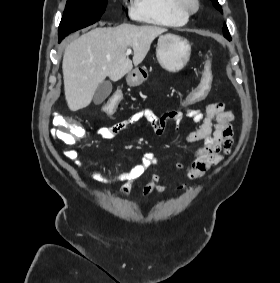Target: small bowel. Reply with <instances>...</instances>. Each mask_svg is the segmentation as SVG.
I'll list each match as a JSON object with an SVG mask.
<instances>
[{"instance_id":"c3829d8e","label":"small bowel","mask_w":280,"mask_h":283,"mask_svg":"<svg viewBox=\"0 0 280 283\" xmlns=\"http://www.w3.org/2000/svg\"><path fill=\"white\" fill-rule=\"evenodd\" d=\"M187 109V112L171 110L161 116L142 109L123 121L97 128L95 135L101 140L110 141L142 120H146L156 131L161 132L168 123L179 125L187 117L196 122L198 128L190 131L186 135L185 141L191 144L203 142V145L196 150L194 159L190 164L186 165L182 162H177L175 167L182 171L191 181L196 180L204 176L211 167L221 163L230 153L233 144L232 122L234 121V114L226 110L222 103L209 104L204 111L193 108ZM82 136L87 141L91 140V137L86 135L85 131ZM65 156L73 161L77 168L88 172L95 178L109 177L118 180L122 184L121 194L123 196H127L132 186L145 174L147 169L158 162L154 153L147 152L129 170L104 173L93 165L85 166L80 159L79 152L75 149L66 151ZM167 182L168 180H163L160 174H153L142 189L143 196L149 198L154 193H163ZM187 186L188 183H185L179 189H185Z\"/></svg>"}]
</instances>
